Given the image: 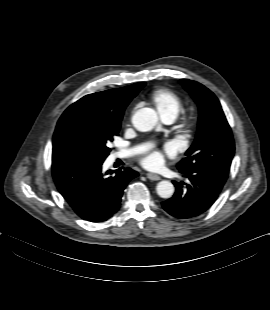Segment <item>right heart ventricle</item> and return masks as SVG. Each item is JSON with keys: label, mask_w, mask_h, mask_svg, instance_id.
<instances>
[{"label": "right heart ventricle", "mask_w": 270, "mask_h": 310, "mask_svg": "<svg viewBox=\"0 0 270 310\" xmlns=\"http://www.w3.org/2000/svg\"><path fill=\"white\" fill-rule=\"evenodd\" d=\"M151 101L163 120H174L183 108L182 101L178 95L166 88L155 90L151 95Z\"/></svg>", "instance_id": "obj_1"}]
</instances>
